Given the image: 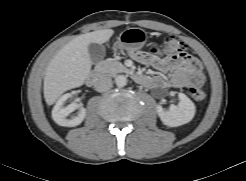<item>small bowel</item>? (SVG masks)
Here are the masks:
<instances>
[{
  "instance_id": "obj_1",
  "label": "small bowel",
  "mask_w": 246,
  "mask_h": 181,
  "mask_svg": "<svg viewBox=\"0 0 246 181\" xmlns=\"http://www.w3.org/2000/svg\"><path fill=\"white\" fill-rule=\"evenodd\" d=\"M129 54L141 64L150 65L161 72L169 73L168 77L147 76L148 81L145 85L150 88H183L199 86L203 83V81L197 82L193 75L192 63L198 62V60L186 52H180L167 57H159L155 54L139 50H132Z\"/></svg>"
}]
</instances>
